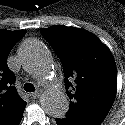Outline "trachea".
<instances>
[{
  "mask_svg": "<svg viewBox=\"0 0 125 125\" xmlns=\"http://www.w3.org/2000/svg\"><path fill=\"white\" fill-rule=\"evenodd\" d=\"M24 90L26 92H34L35 91V87H34V85L32 83H26L24 85Z\"/></svg>",
  "mask_w": 125,
  "mask_h": 125,
  "instance_id": "1",
  "label": "trachea"
}]
</instances>
